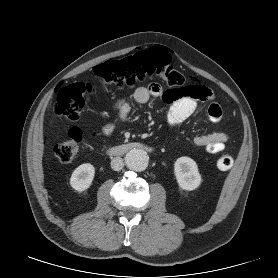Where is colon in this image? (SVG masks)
<instances>
[{
    "mask_svg": "<svg viewBox=\"0 0 278 278\" xmlns=\"http://www.w3.org/2000/svg\"><path fill=\"white\" fill-rule=\"evenodd\" d=\"M94 73L101 84L132 87L149 79H159L171 87V97L190 95L198 97L202 91L197 85H185V76L171 65L169 53L161 47L138 51L122 59L109 60L94 68ZM93 87L89 83L76 82L61 87L54 104V111L58 116L70 121H76L82 114L87 103V97ZM82 133L73 128L69 132V139L57 144L53 153L62 163H69L79 154ZM233 165L232 156L223 152L217 159V166L221 170H228Z\"/></svg>",
    "mask_w": 278,
    "mask_h": 278,
    "instance_id": "1",
    "label": "colon"
}]
</instances>
